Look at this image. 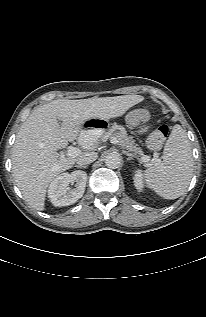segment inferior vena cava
<instances>
[{
	"label": "inferior vena cava",
	"instance_id": "602c4592",
	"mask_svg": "<svg viewBox=\"0 0 206 317\" xmlns=\"http://www.w3.org/2000/svg\"><path fill=\"white\" fill-rule=\"evenodd\" d=\"M98 155L96 152H85L80 154L77 157V164L81 167L86 166L92 162H94L97 159Z\"/></svg>",
	"mask_w": 206,
	"mask_h": 317
}]
</instances>
